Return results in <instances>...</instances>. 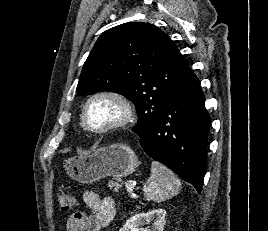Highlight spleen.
<instances>
[{
	"label": "spleen",
	"mask_w": 268,
	"mask_h": 231,
	"mask_svg": "<svg viewBox=\"0 0 268 231\" xmlns=\"http://www.w3.org/2000/svg\"><path fill=\"white\" fill-rule=\"evenodd\" d=\"M181 187L178 177L165 165L152 161L151 176L143 186L147 200L160 203L176 196Z\"/></svg>",
	"instance_id": "obj_1"
}]
</instances>
